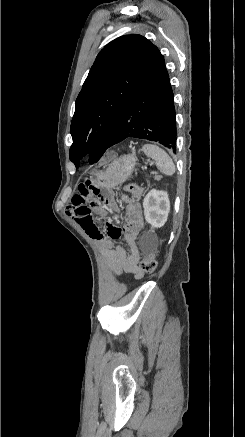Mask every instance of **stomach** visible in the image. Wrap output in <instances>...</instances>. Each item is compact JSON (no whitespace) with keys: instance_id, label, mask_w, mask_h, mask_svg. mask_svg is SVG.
Wrapping results in <instances>:
<instances>
[{"instance_id":"obj_1","label":"stomach","mask_w":245,"mask_h":437,"mask_svg":"<svg viewBox=\"0 0 245 437\" xmlns=\"http://www.w3.org/2000/svg\"><path fill=\"white\" fill-rule=\"evenodd\" d=\"M135 165L136 156L134 154L124 155L113 161L104 174L93 176L92 183L113 188L130 177Z\"/></svg>"}]
</instances>
